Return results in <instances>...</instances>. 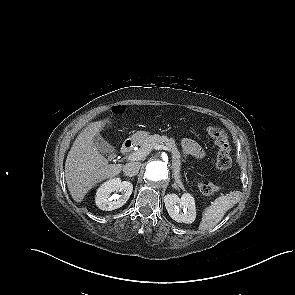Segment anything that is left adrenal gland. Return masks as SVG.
I'll return each mask as SVG.
<instances>
[{
  "label": "left adrenal gland",
  "mask_w": 295,
  "mask_h": 295,
  "mask_svg": "<svg viewBox=\"0 0 295 295\" xmlns=\"http://www.w3.org/2000/svg\"><path fill=\"white\" fill-rule=\"evenodd\" d=\"M172 187L175 188V189H179V187L177 186L176 183L172 184Z\"/></svg>",
  "instance_id": "a2214340"
}]
</instances>
